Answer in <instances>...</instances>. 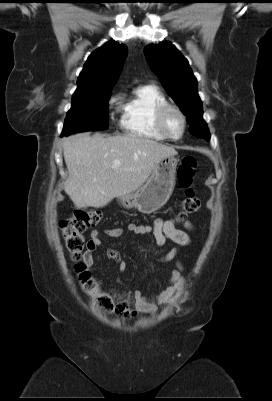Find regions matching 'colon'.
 Masks as SVG:
<instances>
[{"mask_svg":"<svg viewBox=\"0 0 272 401\" xmlns=\"http://www.w3.org/2000/svg\"><path fill=\"white\" fill-rule=\"evenodd\" d=\"M196 165L197 161L194 157L186 156L178 168V183L182 188L187 190L179 213L181 220L189 214L197 212L201 206L199 197L190 188L195 175ZM101 219L102 215L98 211L78 209L75 212L74 218L61 223L60 226L66 249L73 261L79 262L83 255L85 249L84 232L98 225ZM76 272L82 288L96 300L98 306L107 313L116 312L118 314V304L115 305L112 296L99 287L83 263H79L76 266Z\"/></svg>","mask_w":272,"mask_h":401,"instance_id":"5ec220e1","label":"colon"}]
</instances>
